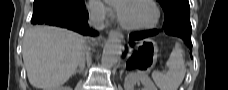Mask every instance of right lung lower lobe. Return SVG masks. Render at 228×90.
<instances>
[{
	"mask_svg": "<svg viewBox=\"0 0 228 90\" xmlns=\"http://www.w3.org/2000/svg\"><path fill=\"white\" fill-rule=\"evenodd\" d=\"M87 19L84 0H35L31 23L64 27L82 35H97L89 28Z\"/></svg>",
	"mask_w": 228,
	"mask_h": 90,
	"instance_id": "right-lung-lower-lobe-1",
	"label": "right lung lower lobe"
}]
</instances>
